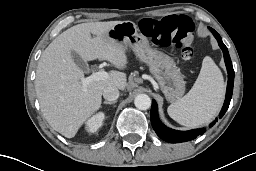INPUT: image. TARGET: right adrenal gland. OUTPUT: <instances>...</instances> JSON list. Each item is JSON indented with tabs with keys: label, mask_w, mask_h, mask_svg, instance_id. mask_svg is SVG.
<instances>
[{
	"label": "right adrenal gland",
	"mask_w": 256,
	"mask_h": 171,
	"mask_svg": "<svg viewBox=\"0 0 256 171\" xmlns=\"http://www.w3.org/2000/svg\"><path fill=\"white\" fill-rule=\"evenodd\" d=\"M115 103H116V101H104V102H103V104H110V105H111V104H115Z\"/></svg>",
	"instance_id": "right-adrenal-gland-1"
}]
</instances>
